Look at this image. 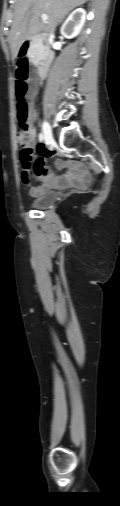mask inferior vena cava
I'll list each match as a JSON object with an SVG mask.
<instances>
[{
	"label": "inferior vena cava",
	"instance_id": "obj_1",
	"mask_svg": "<svg viewBox=\"0 0 120 506\" xmlns=\"http://www.w3.org/2000/svg\"><path fill=\"white\" fill-rule=\"evenodd\" d=\"M53 38H54V35H51L50 36V42H52Z\"/></svg>",
	"mask_w": 120,
	"mask_h": 506
}]
</instances>
